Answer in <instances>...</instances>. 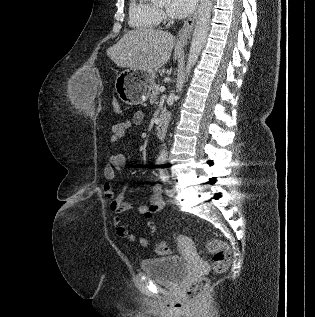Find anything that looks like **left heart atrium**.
<instances>
[{
    "label": "left heart atrium",
    "instance_id": "1",
    "mask_svg": "<svg viewBox=\"0 0 315 317\" xmlns=\"http://www.w3.org/2000/svg\"><path fill=\"white\" fill-rule=\"evenodd\" d=\"M197 0H169L168 12L176 17H184L190 14Z\"/></svg>",
    "mask_w": 315,
    "mask_h": 317
}]
</instances>
